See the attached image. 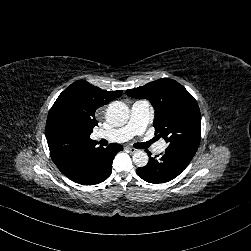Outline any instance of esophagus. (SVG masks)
<instances>
[{
	"mask_svg": "<svg viewBox=\"0 0 251 251\" xmlns=\"http://www.w3.org/2000/svg\"><path fill=\"white\" fill-rule=\"evenodd\" d=\"M126 149L130 152V153H135L137 150L133 147L127 146Z\"/></svg>",
	"mask_w": 251,
	"mask_h": 251,
	"instance_id": "1",
	"label": "esophagus"
}]
</instances>
